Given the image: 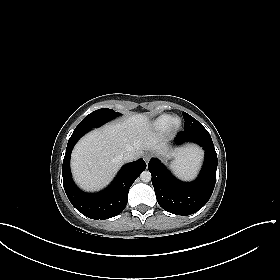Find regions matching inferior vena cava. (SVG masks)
Listing matches in <instances>:
<instances>
[{"label": "inferior vena cava", "instance_id": "obj_1", "mask_svg": "<svg viewBox=\"0 0 280 280\" xmlns=\"http://www.w3.org/2000/svg\"><path fill=\"white\" fill-rule=\"evenodd\" d=\"M121 159L123 161L130 162V161H133L134 159H136V156L132 152H126L122 155Z\"/></svg>", "mask_w": 280, "mask_h": 280}]
</instances>
